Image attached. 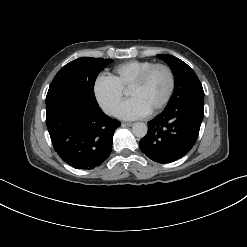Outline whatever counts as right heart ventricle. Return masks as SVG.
Returning <instances> with one entry per match:
<instances>
[{
  "instance_id": "obj_1",
  "label": "right heart ventricle",
  "mask_w": 247,
  "mask_h": 247,
  "mask_svg": "<svg viewBox=\"0 0 247 247\" xmlns=\"http://www.w3.org/2000/svg\"><path fill=\"white\" fill-rule=\"evenodd\" d=\"M154 64L148 60H131L115 66L110 77L124 90L149 66Z\"/></svg>"
}]
</instances>
